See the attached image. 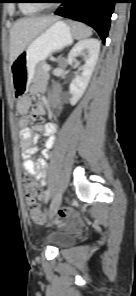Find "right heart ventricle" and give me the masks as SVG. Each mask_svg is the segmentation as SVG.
I'll return each instance as SVG.
<instances>
[{"label": "right heart ventricle", "mask_w": 136, "mask_h": 296, "mask_svg": "<svg viewBox=\"0 0 136 296\" xmlns=\"http://www.w3.org/2000/svg\"><path fill=\"white\" fill-rule=\"evenodd\" d=\"M20 10L25 15H33L39 11V8L32 2V0H22Z\"/></svg>", "instance_id": "obj_1"}]
</instances>
